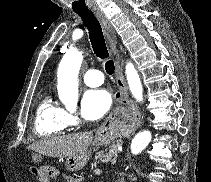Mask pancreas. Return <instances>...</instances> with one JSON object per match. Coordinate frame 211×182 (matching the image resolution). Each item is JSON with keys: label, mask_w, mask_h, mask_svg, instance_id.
Listing matches in <instances>:
<instances>
[{"label": "pancreas", "mask_w": 211, "mask_h": 182, "mask_svg": "<svg viewBox=\"0 0 211 182\" xmlns=\"http://www.w3.org/2000/svg\"><path fill=\"white\" fill-rule=\"evenodd\" d=\"M118 145H112L109 147L108 151H101L95 155L94 164H100L105 162H116L118 158Z\"/></svg>", "instance_id": "pancreas-1"}]
</instances>
